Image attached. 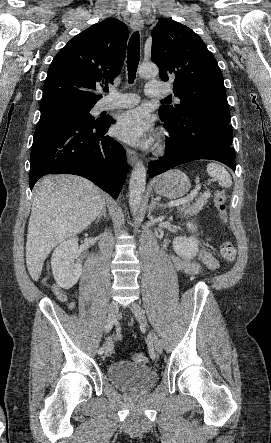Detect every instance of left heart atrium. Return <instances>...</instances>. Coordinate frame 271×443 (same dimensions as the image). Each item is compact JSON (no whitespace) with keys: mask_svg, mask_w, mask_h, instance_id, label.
<instances>
[{"mask_svg":"<svg viewBox=\"0 0 271 443\" xmlns=\"http://www.w3.org/2000/svg\"><path fill=\"white\" fill-rule=\"evenodd\" d=\"M152 122L143 109H132L122 113L114 126V135L132 146L142 147L151 138Z\"/></svg>","mask_w":271,"mask_h":443,"instance_id":"left-heart-atrium-1","label":"left heart atrium"}]
</instances>
